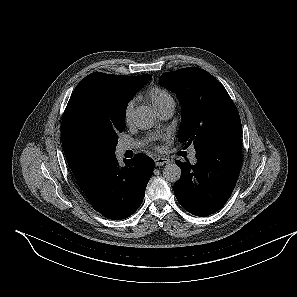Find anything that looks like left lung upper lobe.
I'll return each instance as SVG.
<instances>
[{
    "instance_id": "5c2ea615",
    "label": "left lung upper lobe",
    "mask_w": 297,
    "mask_h": 297,
    "mask_svg": "<svg viewBox=\"0 0 297 297\" xmlns=\"http://www.w3.org/2000/svg\"><path fill=\"white\" fill-rule=\"evenodd\" d=\"M159 84L176 92L181 103L178 139L196 153L241 138L238 110L223 85L207 71L187 67L166 72Z\"/></svg>"
}]
</instances>
